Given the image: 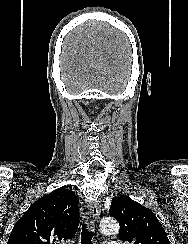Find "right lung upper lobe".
<instances>
[{
    "label": "right lung upper lobe",
    "instance_id": "1",
    "mask_svg": "<svg viewBox=\"0 0 188 244\" xmlns=\"http://www.w3.org/2000/svg\"><path fill=\"white\" fill-rule=\"evenodd\" d=\"M78 197L64 187L41 197L15 224L7 244H59L78 228Z\"/></svg>",
    "mask_w": 188,
    "mask_h": 244
}]
</instances>
